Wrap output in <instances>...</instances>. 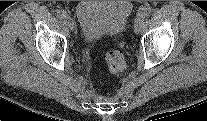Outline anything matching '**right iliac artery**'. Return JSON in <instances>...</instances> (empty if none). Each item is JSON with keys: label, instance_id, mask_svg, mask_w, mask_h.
I'll use <instances>...</instances> for the list:
<instances>
[{"label": "right iliac artery", "instance_id": "obj_1", "mask_svg": "<svg viewBox=\"0 0 207 121\" xmlns=\"http://www.w3.org/2000/svg\"><path fill=\"white\" fill-rule=\"evenodd\" d=\"M56 15L59 19H63L66 17V12L64 10H57Z\"/></svg>", "mask_w": 207, "mask_h": 121}]
</instances>
